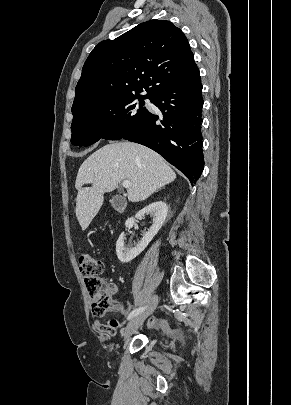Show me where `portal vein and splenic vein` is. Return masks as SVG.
Returning <instances> with one entry per match:
<instances>
[{
    "label": "portal vein and splenic vein",
    "mask_w": 291,
    "mask_h": 405,
    "mask_svg": "<svg viewBox=\"0 0 291 405\" xmlns=\"http://www.w3.org/2000/svg\"><path fill=\"white\" fill-rule=\"evenodd\" d=\"M130 184H131V183H130V181H128V180H125V181L122 182V185H123L124 188H129V187H130Z\"/></svg>",
    "instance_id": "1"
}]
</instances>
